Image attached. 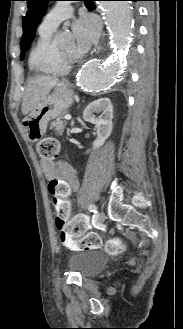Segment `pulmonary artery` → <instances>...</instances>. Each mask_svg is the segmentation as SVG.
I'll return each instance as SVG.
<instances>
[{"instance_id": "pulmonary-artery-1", "label": "pulmonary artery", "mask_w": 183, "mask_h": 329, "mask_svg": "<svg viewBox=\"0 0 183 329\" xmlns=\"http://www.w3.org/2000/svg\"><path fill=\"white\" fill-rule=\"evenodd\" d=\"M73 7L68 2H58L44 17L39 27L42 32H53L61 22L73 14Z\"/></svg>"}]
</instances>
